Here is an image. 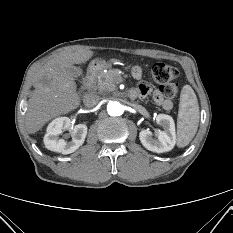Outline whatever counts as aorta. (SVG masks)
<instances>
[{
  "instance_id": "762f6f07",
  "label": "aorta",
  "mask_w": 233,
  "mask_h": 233,
  "mask_svg": "<svg viewBox=\"0 0 233 233\" xmlns=\"http://www.w3.org/2000/svg\"><path fill=\"white\" fill-rule=\"evenodd\" d=\"M107 112L110 116H120L123 114V105L118 101H110L107 105Z\"/></svg>"
}]
</instances>
